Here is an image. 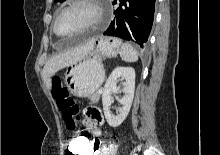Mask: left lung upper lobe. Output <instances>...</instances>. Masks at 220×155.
<instances>
[{
    "label": "left lung upper lobe",
    "instance_id": "1",
    "mask_svg": "<svg viewBox=\"0 0 220 155\" xmlns=\"http://www.w3.org/2000/svg\"><path fill=\"white\" fill-rule=\"evenodd\" d=\"M54 1H57V2H62V1H64V0H54Z\"/></svg>",
    "mask_w": 220,
    "mask_h": 155
}]
</instances>
